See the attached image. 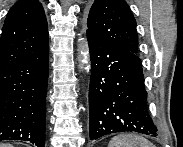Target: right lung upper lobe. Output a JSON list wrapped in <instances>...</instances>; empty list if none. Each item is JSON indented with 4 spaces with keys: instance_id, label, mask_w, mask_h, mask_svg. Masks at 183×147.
<instances>
[{
    "instance_id": "right-lung-upper-lobe-1",
    "label": "right lung upper lobe",
    "mask_w": 183,
    "mask_h": 147,
    "mask_svg": "<svg viewBox=\"0 0 183 147\" xmlns=\"http://www.w3.org/2000/svg\"><path fill=\"white\" fill-rule=\"evenodd\" d=\"M48 50L47 21L37 0H19L9 10L0 40V69L28 61Z\"/></svg>"
}]
</instances>
